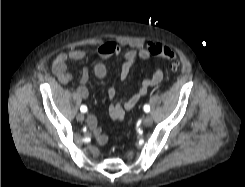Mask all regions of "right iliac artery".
Wrapping results in <instances>:
<instances>
[{
    "label": "right iliac artery",
    "mask_w": 245,
    "mask_h": 187,
    "mask_svg": "<svg viewBox=\"0 0 245 187\" xmlns=\"http://www.w3.org/2000/svg\"><path fill=\"white\" fill-rule=\"evenodd\" d=\"M80 110H81V112L85 113V112H87V107L85 105H82L80 107Z\"/></svg>",
    "instance_id": "82829eb1"
}]
</instances>
